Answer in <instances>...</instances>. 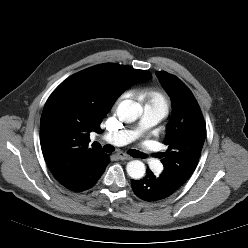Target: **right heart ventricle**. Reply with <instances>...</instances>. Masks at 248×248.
Returning <instances> with one entry per match:
<instances>
[{
  "label": "right heart ventricle",
  "instance_id": "e07e8e85",
  "mask_svg": "<svg viewBox=\"0 0 248 248\" xmlns=\"http://www.w3.org/2000/svg\"><path fill=\"white\" fill-rule=\"evenodd\" d=\"M139 98L145 102V106L161 107L168 111V98L157 89H144L138 92Z\"/></svg>",
  "mask_w": 248,
  "mask_h": 248
}]
</instances>
